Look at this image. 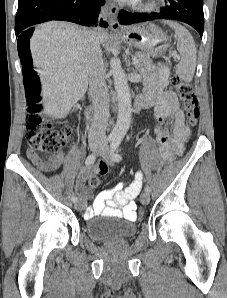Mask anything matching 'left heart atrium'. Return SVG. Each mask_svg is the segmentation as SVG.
<instances>
[{
    "label": "left heart atrium",
    "mask_w": 227,
    "mask_h": 298,
    "mask_svg": "<svg viewBox=\"0 0 227 298\" xmlns=\"http://www.w3.org/2000/svg\"><path fill=\"white\" fill-rule=\"evenodd\" d=\"M119 1L133 3V2H135L137 0H119Z\"/></svg>",
    "instance_id": "left-heart-atrium-1"
}]
</instances>
